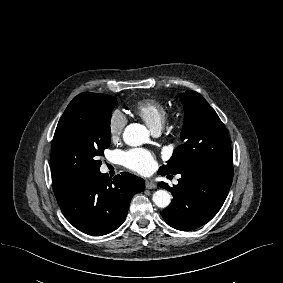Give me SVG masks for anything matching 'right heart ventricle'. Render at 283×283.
Segmentation results:
<instances>
[{
  "instance_id": "obj_1",
  "label": "right heart ventricle",
  "mask_w": 283,
  "mask_h": 283,
  "mask_svg": "<svg viewBox=\"0 0 283 283\" xmlns=\"http://www.w3.org/2000/svg\"><path fill=\"white\" fill-rule=\"evenodd\" d=\"M133 111L152 131H159L166 119L167 105L157 98H145L136 103Z\"/></svg>"
}]
</instances>
